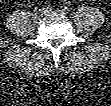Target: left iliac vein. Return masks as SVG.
<instances>
[{
  "instance_id": "obj_1",
  "label": "left iliac vein",
  "mask_w": 111,
  "mask_h": 106,
  "mask_svg": "<svg viewBox=\"0 0 111 106\" xmlns=\"http://www.w3.org/2000/svg\"><path fill=\"white\" fill-rule=\"evenodd\" d=\"M48 13L66 14L62 10H59V9H56V10H53V11H49Z\"/></svg>"
}]
</instances>
